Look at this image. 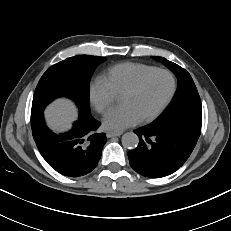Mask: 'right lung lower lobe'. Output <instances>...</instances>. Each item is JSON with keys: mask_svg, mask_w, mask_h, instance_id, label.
Returning a JSON list of instances; mask_svg holds the SVG:
<instances>
[{"mask_svg": "<svg viewBox=\"0 0 231 231\" xmlns=\"http://www.w3.org/2000/svg\"><path fill=\"white\" fill-rule=\"evenodd\" d=\"M99 122L90 112L80 111L79 119L65 134L49 130L43 110L31 112V128L35 143L46 162L57 172L68 177H80L98 164L106 143L104 133H97Z\"/></svg>", "mask_w": 231, "mask_h": 231, "instance_id": "obj_1", "label": "right lung lower lobe"}]
</instances>
